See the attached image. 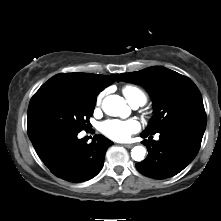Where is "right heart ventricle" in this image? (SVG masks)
I'll return each mask as SVG.
<instances>
[{
  "instance_id": "obj_1",
  "label": "right heart ventricle",
  "mask_w": 221,
  "mask_h": 221,
  "mask_svg": "<svg viewBox=\"0 0 221 221\" xmlns=\"http://www.w3.org/2000/svg\"><path fill=\"white\" fill-rule=\"evenodd\" d=\"M122 91L130 104L139 102L143 105L146 102V95L136 86L127 85L123 88Z\"/></svg>"
}]
</instances>
